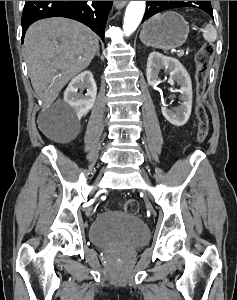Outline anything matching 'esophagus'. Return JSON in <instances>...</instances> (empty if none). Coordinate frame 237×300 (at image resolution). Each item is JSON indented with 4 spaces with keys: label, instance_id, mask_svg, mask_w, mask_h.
I'll return each instance as SVG.
<instances>
[{
    "label": "esophagus",
    "instance_id": "1",
    "mask_svg": "<svg viewBox=\"0 0 237 300\" xmlns=\"http://www.w3.org/2000/svg\"><path fill=\"white\" fill-rule=\"evenodd\" d=\"M128 1H113L116 8H122L127 4Z\"/></svg>",
    "mask_w": 237,
    "mask_h": 300
}]
</instances>
